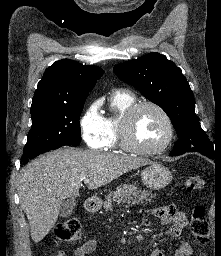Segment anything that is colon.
Here are the masks:
<instances>
[{
	"label": "colon",
	"mask_w": 221,
	"mask_h": 256,
	"mask_svg": "<svg viewBox=\"0 0 221 256\" xmlns=\"http://www.w3.org/2000/svg\"><path fill=\"white\" fill-rule=\"evenodd\" d=\"M205 181L198 175L188 177L184 182V189L188 192L201 191ZM191 232L194 239L200 246H204L209 241V226L206 220L205 208L201 205L194 207L190 223ZM81 238V223L77 218H69L60 223L55 230V240L57 242L72 243Z\"/></svg>",
	"instance_id": "obj_1"
}]
</instances>
